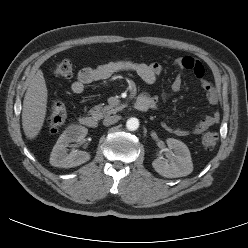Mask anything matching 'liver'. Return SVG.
I'll return each instance as SVG.
<instances>
[{
	"label": "liver",
	"mask_w": 248,
	"mask_h": 248,
	"mask_svg": "<svg viewBox=\"0 0 248 248\" xmlns=\"http://www.w3.org/2000/svg\"><path fill=\"white\" fill-rule=\"evenodd\" d=\"M47 87L43 73L38 70L31 78L25 93L22 110V126L28 139H34L42 129L47 111Z\"/></svg>",
	"instance_id": "6515ba94"
}]
</instances>
